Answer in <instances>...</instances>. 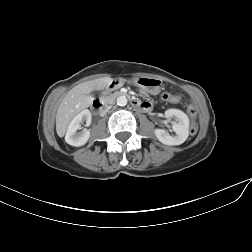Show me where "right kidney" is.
I'll return each mask as SVG.
<instances>
[{
    "label": "right kidney",
    "instance_id": "ca27d5eb",
    "mask_svg": "<svg viewBox=\"0 0 252 252\" xmlns=\"http://www.w3.org/2000/svg\"><path fill=\"white\" fill-rule=\"evenodd\" d=\"M91 118L92 115L88 109H85L77 114L68 126L67 133L65 135L66 143L76 147L86 144L90 137V131L83 129L82 132H77V130L81 129V124L84 122L86 123V126H89L91 123Z\"/></svg>",
    "mask_w": 252,
    "mask_h": 252
}]
</instances>
